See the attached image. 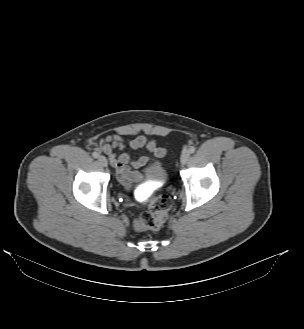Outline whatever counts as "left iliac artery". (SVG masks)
Returning a JSON list of instances; mask_svg holds the SVG:
<instances>
[{
  "mask_svg": "<svg viewBox=\"0 0 304 329\" xmlns=\"http://www.w3.org/2000/svg\"><path fill=\"white\" fill-rule=\"evenodd\" d=\"M195 150H196V148H195L194 146H191V147L189 148V152H190V153H194Z\"/></svg>",
  "mask_w": 304,
  "mask_h": 329,
  "instance_id": "44dca946",
  "label": "left iliac artery"
}]
</instances>
